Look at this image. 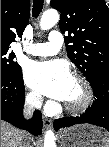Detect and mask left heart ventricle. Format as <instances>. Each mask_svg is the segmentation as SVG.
Wrapping results in <instances>:
<instances>
[{
	"label": "left heart ventricle",
	"mask_w": 109,
	"mask_h": 147,
	"mask_svg": "<svg viewBox=\"0 0 109 147\" xmlns=\"http://www.w3.org/2000/svg\"><path fill=\"white\" fill-rule=\"evenodd\" d=\"M84 97L85 90L83 86L79 81L72 78L65 102L71 105H77L84 100Z\"/></svg>",
	"instance_id": "left-heart-ventricle-1"
}]
</instances>
